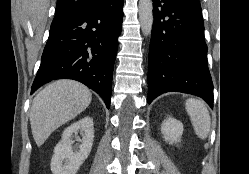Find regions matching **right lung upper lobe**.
<instances>
[{
    "label": "right lung upper lobe",
    "mask_w": 249,
    "mask_h": 174,
    "mask_svg": "<svg viewBox=\"0 0 249 174\" xmlns=\"http://www.w3.org/2000/svg\"><path fill=\"white\" fill-rule=\"evenodd\" d=\"M115 1L116 0H57L53 22L63 20L77 13L108 6Z\"/></svg>",
    "instance_id": "obj_1"
}]
</instances>
